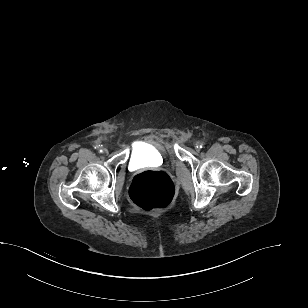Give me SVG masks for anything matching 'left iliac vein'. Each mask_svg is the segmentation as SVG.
Wrapping results in <instances>:
<instances>
[{
  "label": "left iliac vein",
  "instance_id": "4c4485c4",
  "mask_svg": "<svg viewBox=\"0 0 308 308\" xmlns=\"http://www.w3.org/2000/svg\"><path fill=\"white\" fill-rule=\"evenodd\" d=\"M199 143H200V142H196V143H195V149H196L197 151L199 150Z\"/></svg>",
  "mask_w": 308,
  "mask_h": 308
}]
</instances>
